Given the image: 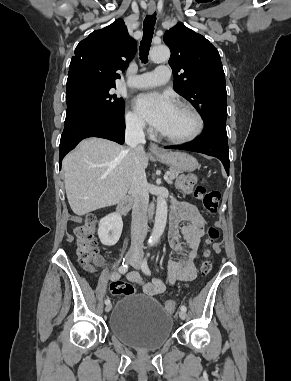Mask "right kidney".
Returning a JSON list of instances; mask_svg holds the SVG:
<instances>
[{"mask_svg":"<svg viewBox=\"0 0 291 381\" xmlns=\"http://www.w3.org/2000/svg\"><path fill=\"white\" fill-rule=\"evenodd\" d=\"M123 221L118 213H111L99 222L98 237L100 242L106 246L115 245L122 233Z\"/></svg>","mask_w":291,"mask_h":381,"instance_id":"obj_1","label":"right kidney"}]
</instances>
